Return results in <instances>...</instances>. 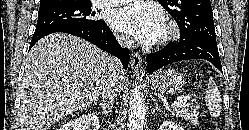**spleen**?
<instances>
[{"instance_id": "obj_1", "label": "spleen", "mask_w": 249, "mask_h": 130, "mask_svg": "<svg viewBox=\"0 0 249 130\" xmlns=\"http://www.w3.org/2000/svg\"><path fill=\"white\" fill-rule=\"evenodd\" d=\"M205 102L210 115L212 117H218L221 112V95L218 91L217 86L211 80L209 81L207 86Z\"/></svg>"}]
</instances>
